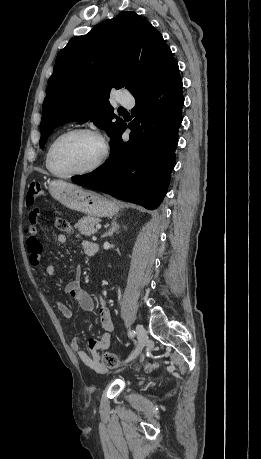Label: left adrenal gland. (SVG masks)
Returning <instances> with one entry per match:
<instances>
[{
	"mask_svg": "<svg viewBox=\"0 0 261 459\" xmlns=\"http://www.w3.org/2000/svg\"><path fill=\"white\" fill-rule=\"evenodd\" d=\"M119 228H120V225L117 224V217H115V218H113V220L111 222L110 229L108 230V232H105L102 235V238L107 237V236H109V237L113 236L114 232L117 231Z\"/></svg>",
	"mask_w": 261,
	"mask_h": 459,
	"instance_id": "a2214340",
	"label": "left adrenal gland"
}]
</instances>
